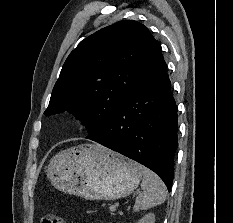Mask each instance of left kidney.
Returning a JSON list of instances; mask_svg holds the SVG:
<instances>
[{
    "mask_svg": "<svg viewBox=\"0 0 233 223\" xmlns=\"http://www.w3.org/2000/svg\"><path fill=\"white\" fill-rule=\"evenodd\" d=\"M155 221V215L154 213H147V215H144L142 219H139L137 223H154Z\"/></svg>",
    "mask_w": 233,
    "mask_h": 223,
    "instance_id": "5707ae66",
    "label": "left kidney"
}]
</instances>
